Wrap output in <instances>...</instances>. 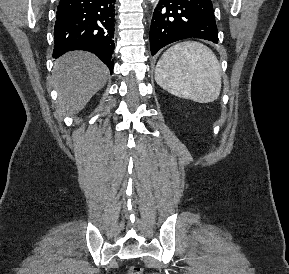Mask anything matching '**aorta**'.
I'll list each match as a JSON object with an SVG mask.
<instances>
[{
    "instance_id": "1",
    "label": "aorta",
    "mask_w": 289,
    "mask_h": 274,
    "mask_svg": "<svg viewBox=\"0 0 289 274\" xmlns=\"http://www.w3.org/2000/svg\"><path fill=\"white\" fill-rule=\"evenodd\" d=\"M151 2L153 3V2H155V0H151Z\"/></svg>"
}]
</instances>
